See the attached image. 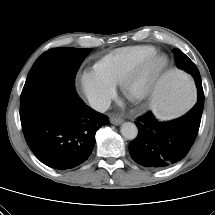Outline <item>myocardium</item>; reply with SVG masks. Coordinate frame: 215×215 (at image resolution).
I'll use <instances>...</instances> for the list:
<instances>
[{"label": "myocardium", "instance_id": "1", "mask_svg": "<svg viewBox=\"0 0 215 215\" xmlns=\"http://www.w3.org/2000/svg\"><path fill=\"white\" fill-rule=\"evenodd\" d=\"M168 68L165 55L155 52L135 64L124 76L120 83L122 93L132 102L140 103L150 97L161 77ZM145 75L144 84L137 92H132L133 85Z\"/></svg>", "mask_w": 215, "mask_h": 215}]
</instances>
